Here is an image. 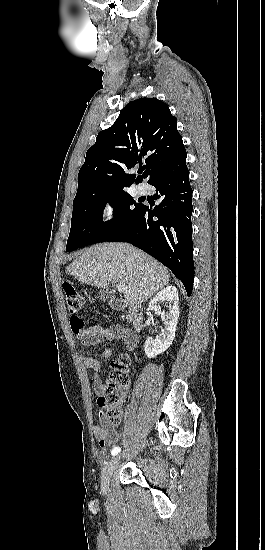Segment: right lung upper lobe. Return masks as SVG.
I'll list each match as a JSON object with an SVG mask.
<instances>
[{
	"instance_id": "1",
	"label": "right lung upper lobe",
	"mask_w": 265,
	"mask_h": 550,
	"mask_svg": "<svg viewBox=\"0 0 265 550\" xmlns=\"http://www.w3.org/2000/svg\"><path fill=\"white\" fill-rule=\"evenodd\" d=\"M176 118L157 98L131 101L114 124L101 131L79 170L76 197L87 199L126 191L135 181L150 180L184 148ZM145 160L135 179L128 170Z\"/></svg>"
}]
</instances>
